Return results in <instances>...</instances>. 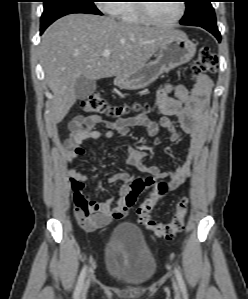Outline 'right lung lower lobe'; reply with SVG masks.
Here are the masks:
<instances>
[{"label":"right lung lower lobe","mask_w":248,"mask_h":299,"mask_svg":"<svg viewBox=\"0 0 248 299\" xmlns=\"http://www.w3.org/2000/svg\"><path fill=\"white\" fill-rule=\"evenodd\" d=\"M45 29V27H41V33H43Z\"/></svg>","instance_id":"right-lung-lower-lobe-1"}]
</instances>
